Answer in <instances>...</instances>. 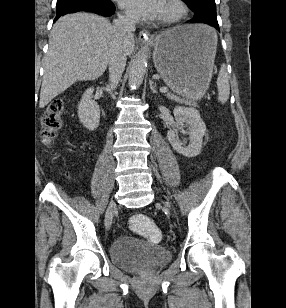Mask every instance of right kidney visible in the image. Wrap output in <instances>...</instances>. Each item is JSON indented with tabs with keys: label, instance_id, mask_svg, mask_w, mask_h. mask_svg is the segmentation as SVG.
<instances>
[{
	"label": "right kidney",
	"instance_id": "obj_1",
	"mask_svg": "<svg viewBox=\"0 0 286 308\" xmlns=\"http://www.w3.org/2000/svg\"><path fill=\"white\" fill-rule=\"evenodd\" d=\"M93 91V88L87 89L78 104L80 122L90 131L98 128L100 122V108L97 102L92 99Z\"/></svg>",
	"mask_w": 286,
	"mask_h": 308
}]
</instances>
